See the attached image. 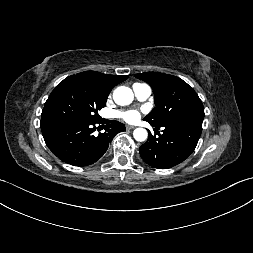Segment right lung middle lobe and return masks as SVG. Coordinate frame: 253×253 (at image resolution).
I'll return each instance as SVG.
<instances>
[{"mask_svg": "<svg viewBox=\"0 0 253 253\" xmlns=\"http://www.w3.org/2000/svg\"><path fill=\"white\" fill-rule=\"evenodd\" d=\"M107 97L108 94L78 74L69 76L56 86L45 102L41 123L97 122L98 111L106 105Z\"/></svg>", "mask_w": 253, "mask_h": 253, "instance_id": "dd1d6c3e", "label": "right lung middle lobe"}]
</instances>
